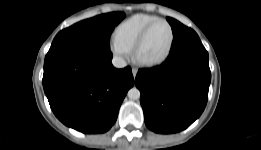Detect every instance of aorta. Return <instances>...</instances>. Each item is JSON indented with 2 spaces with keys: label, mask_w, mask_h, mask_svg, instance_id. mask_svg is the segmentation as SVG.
Returning <instances> with one entry per match:
<instances>
[{
  "label": "aorta",
  "mask_w": 261,
  "mask_h": 150,
  "mask_svg": "<svg viewBox=\"0 0 261 150\" xmlns=\"http://www.w3.org/2000/svg\"><path fill=\"white\" fill-rule=\"evenodd\" d=\"M127 95L132 100H138L140 98L141 94H140V91L136 87H133L128 91Z\"/></svg>",
  "instance_id": "obj_1"
}]
</instances>
